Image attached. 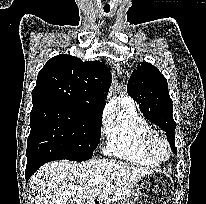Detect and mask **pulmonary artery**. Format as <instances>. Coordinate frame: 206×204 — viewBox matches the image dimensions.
I'll list each match as a JSON object with an SVG mask.
<instances>
[{
	"mask_svg": "<svg viewBox=\"0 0 206 204\" xmlns=\"http://www.w3.org/2000/svg\"><path fill=\"white\" fill-rule=\"evenodd\" d=\"M121 100L126 101V102H130L133 103V100L131 99V97H129L128 95H123Z\"/></svg>",
	"mask_w": 206,
	"mask_h": 204,
	"instance_id": "pulmonary-artery-1",
	"label": "pulmonary artery"
}]
</instances>
